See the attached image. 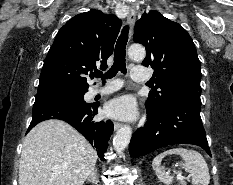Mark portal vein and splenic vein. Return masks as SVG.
Here are the masks:
<instances>
[{
    "label": "portal vein and splenic vein",
    "instance_id": "18ae733b",
    "mask_svg": "<svg viewBox=\"0 0 233 185\" xmlns=\"http://www.w3.org/2000/svg\"><path fill=\"white\" fill-rule=\"evenodd\" d=\"M175 174L177 175L176 176L177 179H183L184 178L180 172H175Z\"/></svg>",
    "mask_w": 233,
    "mask_h": 185
}]
</instances>
